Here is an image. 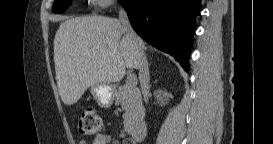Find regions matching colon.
<instances>
[{
    "label": "colon",
    "instance_id": "obj_1",
    "mask_svg": "<svg viewBox=\"0 0 273 144\" xmlns=\"http://www.w3.org/2000/svg\"><path fill=\"white\" fill-rule=\"evenodd\" d=\"M102 128V119L99 112L93 107L83 109L78 120V131L81 135L92 136L98 134Z\"/></svg>",
    "mask_w": 273,
    "mask_h": 144
}]
</instances>
